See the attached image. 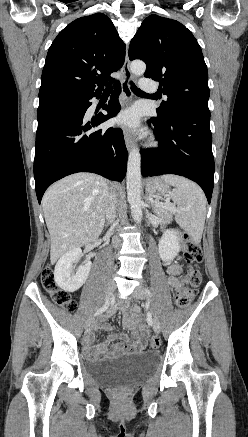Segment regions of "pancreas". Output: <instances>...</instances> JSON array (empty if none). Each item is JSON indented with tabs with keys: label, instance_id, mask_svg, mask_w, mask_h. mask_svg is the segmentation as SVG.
<instances>
[{
	"label": "pancreas",
	"instance_id": "cf45deb5",
	"mask_svg": "<svg viewBox=\"0 0 248 437\" xmlns=\"http://www.w3.org/2000/svg\"><path fill=\"white\" fill-rule=\"evenodd\" d=\"M153 211L162 226L167 224L172 218V213L169 209L157 206V204L153 206Z\"/></svg>",
	"mask_w": 248,
	"mask_h": 437
}]
</instances>
